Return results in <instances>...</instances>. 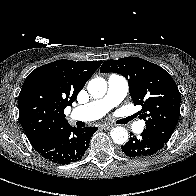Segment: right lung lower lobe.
Wrapping results in <instances>:
<instances>
[{
	"label": "right lung lower lobe",
	"instance_id": "obj_1",
	"mask_svg": "<svg viewBox=\"0 0 196 196\" xmlns=\"http://www.w3.org/2000/svg\"><path fill=\"white\" fill-rule=\"evenodd\" d=\"M97 127L76 128L67 125L34 149L45 159L58 164L79 161L89 147L91 136Z\"/></svg>",
	"mask_w": 196,
	"mask_h": 196
}]
</instances>
